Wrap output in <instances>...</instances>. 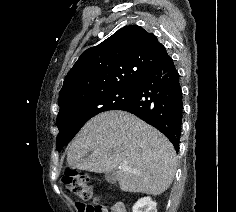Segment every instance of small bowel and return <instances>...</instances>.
Instances as JSON below:
<instances>
[{"mask_svg":"<svg viewBox=\"0 0 236 212\" xmlns=\"http://www.w3.org/2000/svg\"><path fill=\"white\" fill-rule=\"evenodd\" d=\"M104 212H126L125 207L122 203H116L111 208H104Z\"/></svg>","mask_w":236,"mask_h":212,"instance_id":"small-bowel-1","label":"small bowel"}]
</instances>
